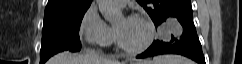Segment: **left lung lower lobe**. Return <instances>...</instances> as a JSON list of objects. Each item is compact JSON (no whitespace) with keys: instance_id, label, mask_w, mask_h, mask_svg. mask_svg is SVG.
I'll list each match as a JSON object with an SVG mask.
<instances>
[{"instance_id":"0a47b994","label":"left lung lower lobe","mask_w":242,"mask_h":64,"mask_svg":"<svg viewBox=\"0 0 242 64\" xmlns=\"http://www.w3.org/2000/svg\"><path fill=\"white\" fill-rule=\"evenodd\" d=\"M168 18H176L183 27V33L179 40L172 36L171 42L156 40L137 58L153 57L161 54H180L186 56L198 64H205L201 43L193 23L192 7L183 8L169 15ZM171 44L172 42H174Z\"/></svg>"}]
</instances>
